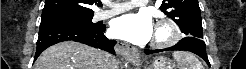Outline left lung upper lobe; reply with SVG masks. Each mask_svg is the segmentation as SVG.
Returning <instances> with one entry per match:
<instances>
[{
    "label": "left lung upper lobe",
    "instance_id": "left-lung-upper-lobe-1",
    "mask_svg": "<svg viewBox=\"0 0 246 69\" xmlns=\"http://www.w3.org/2000/svg\"><path fill=\"white\" fill-rule=\"evenodd\" d=\"M160 9L177 23L185 35L203 39L201 11L197 0H163Z\"/></svg>",
    "mask_w": 246,
    "mask_h": 69
}]
</instances>
